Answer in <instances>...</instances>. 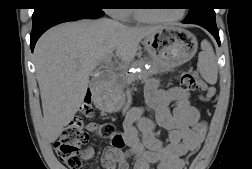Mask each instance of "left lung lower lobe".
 I'll list each match as a JSON object with an SVG mask.
<instances>
[{"label":"left lung lower lobe","instance_id":"obj_1","mask_svg":"<svg viewBox=\"0 0 252 169\" xmlns=\"http://www.w3.org/2000/svg\"><path fill=\"white\" fill-rule=\"evenodd\" d=\"M183 23L185 22L183 21ZM192 24H197L207 29L215 37L218 45H220L219 30L217 29L216 23L198 22V23H192Z\"/></svg>","mask_w":252,"mask_h":169}]
</instances>
